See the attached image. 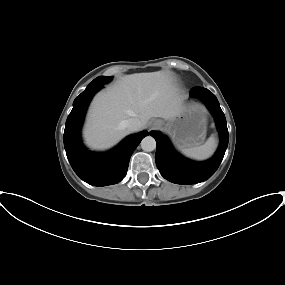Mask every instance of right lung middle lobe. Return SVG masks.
Segmentation results:
<instances>
[{"label":"right lung middle lobe","instance_id":"right-lung-middle-lobe-1","mask_svg":"<svg viewBox=\"0 0 285 285\" xmlns=\"http://www.w3.org/2000/svg\"><path fill=\"white\" fill-rule=\"evenodd\" d=\"M112 78L113 77H111V76H100V77H97L91 83H89V85L87 86V88L85 90H90V89H93L95 87H100L103 84L111 81Z\"/></svg>","mask_w":285,"mask_h":285}]
</instances>
